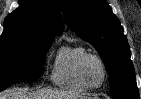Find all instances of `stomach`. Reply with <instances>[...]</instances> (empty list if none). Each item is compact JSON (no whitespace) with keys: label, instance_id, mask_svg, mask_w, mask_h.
<instances>
[{"label":"stomach","instance_id":"0dacf381","mask_svg":"<svg viewBox=\"0 0 141 99\" xmlns=\"http://www.w3.org/2000/svg\"><path fill=\"white\" fill-rule=\"evenodd\" d=\"M78 99H87V98H78Z\"/></svg>","mask_w":141,"mask_h":99}]
</instances>
